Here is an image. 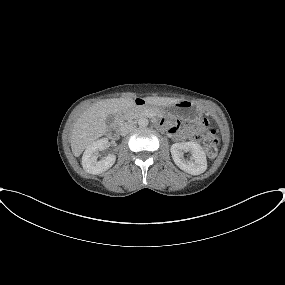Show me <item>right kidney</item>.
<instances>
[{
    "label": "right kidney",
    "mask_w": 285,
    "mask_h": 285,
    "mask_svg": "<svg viewBox=\"0 0 285 285\" xmlns=\"http://www.w3.org/2000/svg\"><path fill=\"white\" fill-rule=\"evenodd\" d=\"M107 144L108 140L102 138L94 141L86 148L82 156V166L87 173L98 175L108 170L115 163L116 156L113 154L98 160V151L106 149Z\"/></svg>",
    "instance_id": "1"
}]
</instances>
